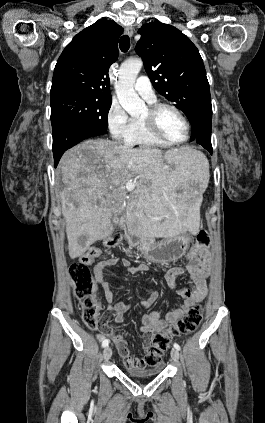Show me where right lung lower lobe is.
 I'll list each match as a JSON object with an SVG mask.
<instances>
[{
	"instance_id": "obj_1",
	"label": "right lung lower lobe",
	"mask_w": 265,
	"mask_h": 423,
	"mask_svg": "<svg viewBox=\"0 0 265 423\" xmlns=\"http://www.w3.org/2000/svg\"><path fill=\"white\" fill-rule=\"evenodd\" d=\"M102 134L103 133L99 130L77 122H65L53 128V154L55 166L58 164L65 150L84 139Z\"/></svg>"
}]
</instances>
